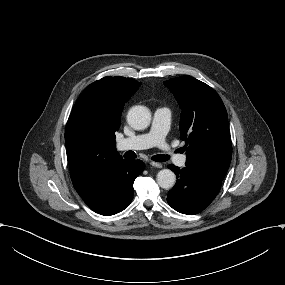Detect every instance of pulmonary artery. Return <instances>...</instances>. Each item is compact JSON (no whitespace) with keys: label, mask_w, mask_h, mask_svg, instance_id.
Listing matches in <instances>:
<instances>
[{"label":"pulmonary artery","mask_w":285,"mask_h":285,"mask_svg":"<svg viewBox=\"0 0 285 285\" xmlns=\"http://www.w3.org/2000/svg\"><path fill=\"white\" fill-rule=\"evenodd\" d=\"M172 116L167 107H158L154 113V119L151 129L148 133L138 134L129 138H122L117 143L119 150L132 148H156L157 146L167 149L164 137L171 127ZM167 157L170 160H175V164L181 168L186 166L187 155L179 154L175 149H170L167 152Z\"/></svg>","instance_id":"e3ab8cb5"}]
</instances>
